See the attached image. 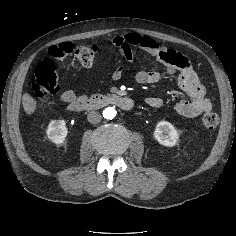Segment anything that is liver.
<instances>
[{
    "mask_svg": "<svg viewBox=\"0 0 236 236\" xmlns=\"http://www.w3.org/2000/svg\"><path fill=\"white\" fill-rule=\"evenodd\" d=\"M22 104L27 115L33 114L37 108L36 100L27 92L22 96Z\"/></svg>",
    "mask_w": 236,
    "mask_h": 236,
    "instance_id": "liver-1",
    "label": "liver"
}]
</instances>
